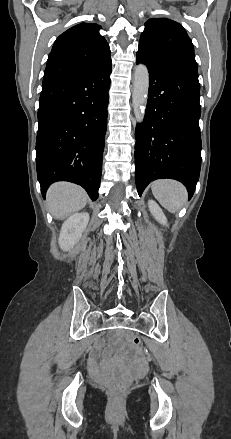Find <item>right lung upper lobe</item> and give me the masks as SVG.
I'll return each instance as SVG.
<instances>
[{
    "label": "right lung upper lobe",
    "mask_w": 231,
    "mask_h": 439,
    "mask_svg": "<svg viewBox=\"0 0 231 439\" xmlns=\"http://www.w3.org/2000/svg\"><path fill=\"white\" fill-rule=\"evenodd\" d=\"M99 29L97 24L81 23L61 34L49 54L43 85L87 75L111 60Z\"/></svg>",
    "instance_id": "cb5924a9"
}]
</instances>
